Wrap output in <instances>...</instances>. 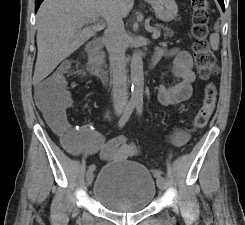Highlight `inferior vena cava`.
<instances>
[{
	"label": "inferior vena cava",
	"instance_id": "inferior-vena-cava-1",
	"mask_svg": "<svg viewBox=\"0 0 245 225\" xmlns=\"http://www.w3.org/2000/svg\"><path fill=\"white\" fill-rule=\"evenodd\" d=\"M103 40L109 53L113 105L116 110H119L128 103L125 28L121 16L112 15L108 18Z\"/></svg>",
	"mask_w": 245,
	"mask_h": 225
}]
</instances>
